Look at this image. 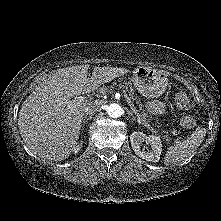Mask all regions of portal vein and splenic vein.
Returning a JSON list of instances; mask_svg holds the SVG:
<instances>
[{"mask_svg": "<svg viewBox=\"0 0 221 221\" xmlns=\"http://www.w3.org/2000/svg\"><path fill=\"white\" fill-rule=\"evenodd\" d=\"M121 92L124 94V96L126 97L130 107L133 109V111L135 112V114L137 115V118H138V121L139 122H142L144 124V126L148 127L150 130L153 131V128L149 126L148 123H146V121H143L140 117H139V114L137 113V111L135 110V107L133 105V103L131 102V99L128 97V95L126 94L125 90H121ZM71 103H77V104H80V103H84V102H87V99L86 97H76L74 100L70 101Z\"/></svg>", "mask_w": 221, "mask_h": 221, "instance_id": "portal-vein-and-splenic-vein-1", "label": "portal vein and splenic vein"}]
</instances>
